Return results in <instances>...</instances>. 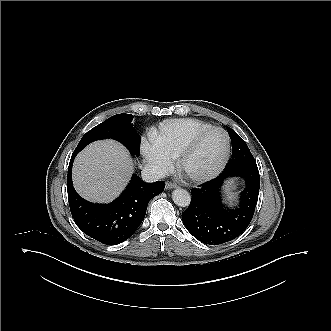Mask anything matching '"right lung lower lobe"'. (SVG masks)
<instances>
[{"label":"right lung lower lobe","instance_id":"1","mask_svg":"<svg viewBox=\"0 0 331 331\" xmlns=\"http://www.w3.org/2000/svg\"><path fill=\"white\" fill-rule=\"evenodd\" d=\"M74 151L69 163L67 190L70 210L78 227L88 236L106 244L116 245L128 239L143 221L147 204L164 188L163 181L148 184L133 175L123 193L107 205L94 204L80 197L72 184L71 170Z\"/></svg>","mask_w":331,"mask_h":331}]
</instances>
